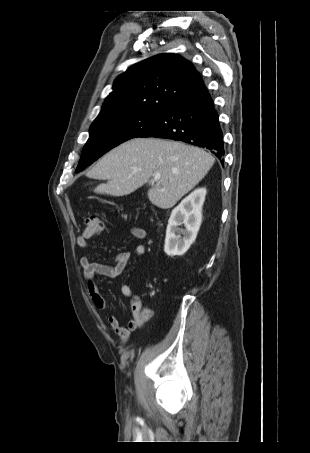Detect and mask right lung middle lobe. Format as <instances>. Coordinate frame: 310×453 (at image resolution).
Here are the masks:
<instances>
[{
	"instance_id": "obj_1",
	"label": "right lung middle lobe",
	"mask_w": 310,
	"mask_h": 453,
	"mask_svg": "<svg viewBox=\"0 0 310 453\" xmlns=\"http://www.w3.org/2000/svg\"><path fill=\"white\" fill-rule=\"evenodd\" d=\"M161 113L123 112L95 119L90 126V136L82 150L76 172L82 171L117 145L138 137L160 117Z\"/></svg>"
}]
</instances>
